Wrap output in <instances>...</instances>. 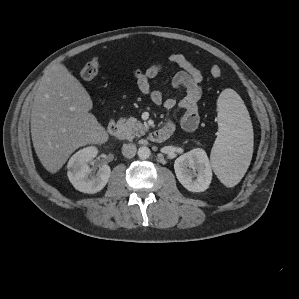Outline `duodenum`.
<instances>
[{
  "label": "duodenum",
  "mask_w": 299,
  "mask_h": 299,
  "mask_svg": "<svg viewBox=\"0 0 299 299\" xmlns=\"http://www.w3.org/2000/svg\"><path fill=\"white\" fill-rule=\"evenodd\" d=\"M107 132L110 136L118 139L124 138V132L120 124L116 121H110L107 127ZM171 135V131L167 128H160L150 133L149 139L153 142H164Z\"/></svg>",
  "instance_id": "1"
}]
</instances>
